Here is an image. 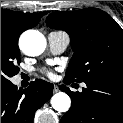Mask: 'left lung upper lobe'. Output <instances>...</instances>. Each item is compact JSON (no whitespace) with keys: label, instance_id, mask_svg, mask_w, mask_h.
Masks as SVG:
<instances>
[{"label":"left lung upper lobe","instance_id":"left-lung-upper-lobe-1","mask_svg":"<svg viewBox=\"0 0 123 123\" xmlns=\"http://www.w3.org/2000/svg\"><path fill=\"white\" fill-rule=\"evenodd\" d=\"M46 24L71 38L74 54L65 79L123 81V29L107 13L96 8L55 12Z\"/></svg>","mask_w":123,"mask_h":123}]
</instances>
